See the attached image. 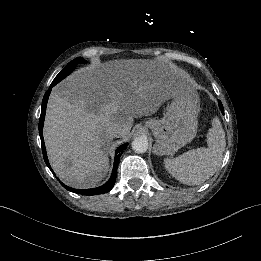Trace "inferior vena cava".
Here are the masks:
<instances>
[{"label":"inferior vena cava","instance_id":"obj_1","mask_svg":"<svg viewBox=\"0 0 261 261\" xmlns=\"http://www.w3.org/2000/svg\"><path fill=\"white\" fill-rule=\"evenodd\" d=\"M122 131V128L118 126L117 124H114L113 126L108 128V132L113 137H119L120 133Z\"/></svg>","mask_w":261,"mask_h":261}]
</instances>
